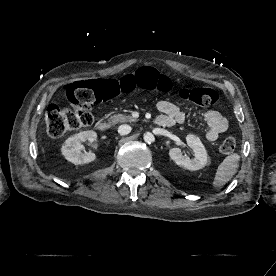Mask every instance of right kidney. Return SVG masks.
Listing matches in <instances>:
<instances>
[{
	"instance_id": "right-kidney-1",
	"label": "right kidney",
	"mask_w": 276,
	"mask_h": 276,
	"mask_svg": "<svg viewBox=\"0 0 276 276\" xmlns=\"http://www.w3.org/2000/svg\"><path fill=\"white\" fill-rule=\"evenodd\" d=\"M97 138L95 131H82L69 137L62 145L61 152L66 160L69 162L80 165L94 161L96 155L93 152H81L82 142L94 141Z\"/></svg>"
}]
</instances>
